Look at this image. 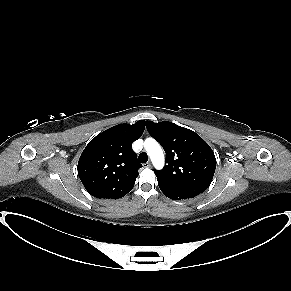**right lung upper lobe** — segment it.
<instances>
[{
    "instance_id": "cb5924a9",
    "label": "right lung upper lobe",
    "mask_w": 291,
    "mask_h": 291,
    "mask_svg": "<svg viewBox=\"0 0 291 291\" xmlns=\"http://www.w3.org/2000/svg\"><path fill=\"white\" fill-rule=\"evenodd\" d=\"M145 129V121L119 124L98 134L82 152L78 175L85 189L96 198L118 199L132 190L142 167L132 143Z\"/></svg>"
}]
</instances>
